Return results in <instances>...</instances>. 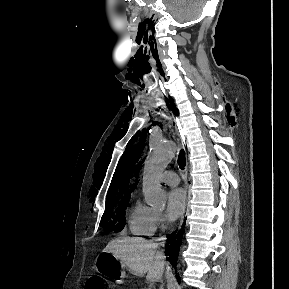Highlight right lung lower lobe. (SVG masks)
Masks as SVG:
<instances>
[{"label":"right lung lower lobe","mask_w":289,"mask_h":289,"mask_svg":"<svg viewBox=\"0 0 289 289\" xmlns=\"http://www.w3.org/2000/svg\"><path fill=\"white\" fill-rule=\"evenodd\" d=\"M184 233L183 227L179 231H175L168 236L166 243V252L168 261L175 267L178 259L179 249L182 243V235Z\"/></svg>","instance_id":"obj_1"}]
</instances>
